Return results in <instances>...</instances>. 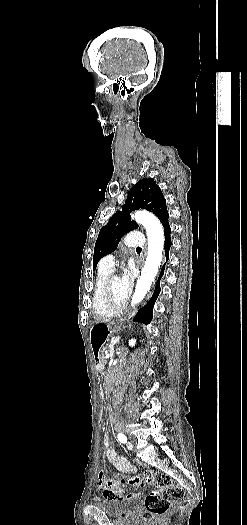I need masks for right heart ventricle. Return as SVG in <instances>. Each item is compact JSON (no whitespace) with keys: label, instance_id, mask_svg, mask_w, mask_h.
<instances>
[{"label":"right heart ventricle","instance_id":"right-heart-ventricle-1","mask_svg":"<svg viewBox=\"0 0 247 525\" xmlns=\"http://www.w3.org/2000/svg\"><path fill=\"white\" fill-rule=\"evenodd\" d=\"M113 269L107 263V257H104L100 262V268L96 278V285L92 294V308L94 317H113V311L109 307H105L99 294V289L105 280L112 275Z\"/></svg>","mask_w":247,"mask_h":525}]
</instances>
